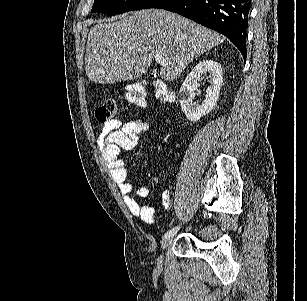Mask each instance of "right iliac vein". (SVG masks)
Segmentation results:
<instances>
[{
	"mask_svg": "<svg viewBox=\"0 0 307 301\" xmlns=\"http://www.w3.org/2000/svg\"><path fill=\"white\" fill-rule=\"evenodd\" d=\"M172 240H173V235L164 237L161 241V249L164 250L167 246H169ZM162 262H163V256L160 255L157 261L158 266H162Z\"/></svg>",
	"mask_w": 307,
	"mask_h": 301,
	"instance_id": "63e3f726",
	"label": "right iliac vein"
}]
</instances>
